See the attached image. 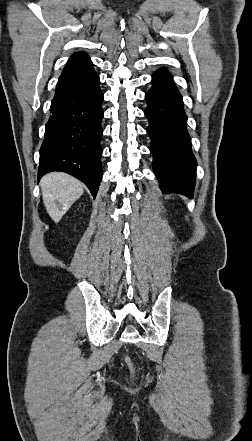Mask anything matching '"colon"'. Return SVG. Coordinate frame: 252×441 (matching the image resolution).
<instances>
[{"instance_id":"1","label":"colon","mask_w":252,"mask_h":441,"mask_svg":"<svg viewBox=\"0 0 252 441\" xmlns=\"http://www.w3.org/2000/svg\"><path fill=\"white\" fill-rule=\"evenodd\" d=\"M125 361L129 367H131V368L133 367V362L130 357H126Z\"/></svg>"}]
</instances>
